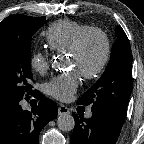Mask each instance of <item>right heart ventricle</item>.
<instances>
[{
  "instance_id": "obj_1",
  "label": "right heart ventricle",
  "mask_w": 144,
  "mask_h": 144,
  "mask_svg": "<svg viewBox=\"0 0 144 144\" xmlns=\"http://www.w3.org/2000/svg\"><path fill=\"white\" fill-rule=\"evenodd\" d=\"M91 26L76 21L61 20L51 24L44 33L48 46L55 51H69L77 38Z\"/></svg>"
}]
</instances>
